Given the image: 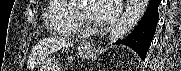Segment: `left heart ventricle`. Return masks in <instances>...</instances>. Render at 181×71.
<instances>
[{
	"label": "left heart ventricle",
	"instance_id": "left-heart-ventricle-1",
	"mask_svg": "<svg viewBox=\"0 0 181 71\" xmlns=\"http://www.w3.org/2000/svg\"><path fill=\"white\" fill-rule=\"evenodd\" d=\"M84 3L87 4V10H90V19L96 22L94 17L96 16V7L98 5V1H91V2H84Z\"/></svg>",
	"mask_w": 181,
	"mask_h": 71
}]
</instances>
